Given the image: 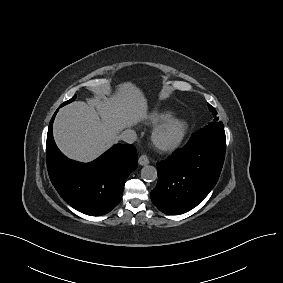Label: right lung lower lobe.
<instances>
[{"label": "right lung lower lobe", "mask_w": 283, "mask_h": 283, "mask_svg": "<svg viewBox=\"0 0 283 283\" xmlns=\"http://www.w3.org/2000/svg\"><path fill=\"white\" fill-rule=\"evenodd\" d=\"M57 111L50 121L46 143L50 180L77 211L92 216L107 214L120 202L126 179L137 168L136 149L130 144H117L91 163L70 160L53 139Z\"/></svg>", "instance_id": "obj_1"}]
</instances>
